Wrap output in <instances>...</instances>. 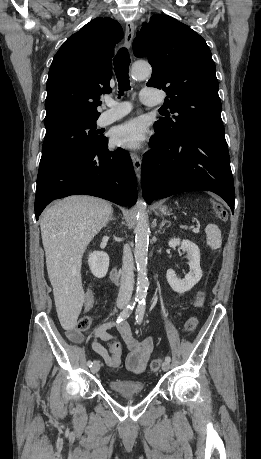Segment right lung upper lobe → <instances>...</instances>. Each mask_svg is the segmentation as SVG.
<instances>
[{
  "label": "right lung upper lobe",
  "mask_w": 261,
  "mask_h": 459,
  "mask_svg": "<svg viewBox=\"0 0 261 459\" xmlns=\"http://www.w3.org/2000/svg\"><path fill=\"white\" fill-rule=\"evenodd\" d=\"M122 37L116 21L96 18L65 41L49 70L45 127L98 119L97 101L111 91L114 47Z\"/></svg>",
  "instance_id": "1"
}]
</instances>
